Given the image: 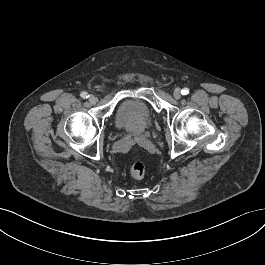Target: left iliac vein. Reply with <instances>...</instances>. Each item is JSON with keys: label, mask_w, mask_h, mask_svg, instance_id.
<instances>
[{"label": "left iliac vein", "mask_w": 265, "mask_h": 265, "mask_svg": "<svg viewBox=\"0 0 265 265\" xmlns=\"http://www.w3.org/2000/svg\"><path fill=\"white\" fill-rule=\"evenodd\" d=\"M173 96H174L175 99H179L181 97V90L179 88H176L173 91Z\"/></svg>", "instance_id": "left-iliac-vein-1"}]
</instances>
